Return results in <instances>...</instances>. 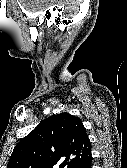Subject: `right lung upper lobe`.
<instances>
[{
  "instance_id": "1",
  "label": "right lung upper lobe",
  "mask_w": 127,
  "mask_h": 168,
  "mask_svg": "<svg viewBox=\"0 0 127 168\" xmlns=\"http://www.w3.org/2000/svg\"><path fill=\"white\" fill-rule=\"evenodd\" d=\"M90 151L82 121L61 113L42 121L16 145L7 168H75Z\"/></svg>"
}]
</instances>
